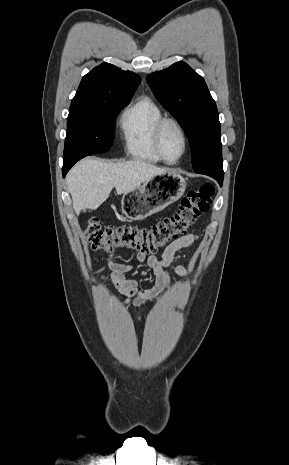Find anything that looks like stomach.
I'll use <instances>...</instances> for the list:
<instances>
[{"mask_svg":"<svg viewBox=\"0 0 289 465\" xmlns=\"http://www.w3.org/2000/svg\"><path fill=\"white\" fill-rule=\"evenodd\" d=\"M187 180L168 171L145 181L122 197V213L129 220H143L177 201L185 192Z\"/></svg>","mask_w":289,"mask_h":465,"instance_id":"obj_1","label":"stomach"}]
</instances>
